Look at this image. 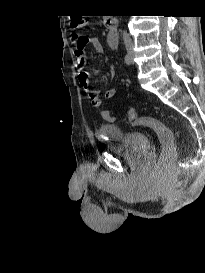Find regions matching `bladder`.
Masks as SVG:
<instances>
[{
    "instance_id": "bladder-1",
    "label": "bladder",
    "mask_w": 205,
    "mask_h": 273,
    "mask_svg": "<svg viewBox=\"0 0 205 273\" xmlns=\"http://www.w3.org/2000/svg\"><path fill=\"white\" fill-rule=\"evenodd\" d=\"M98 133L111 152L131 161L144 158L150 148L148 135L141 131L124 132L117 125L103 124L99 127Z\"/></svg>"
}]
</instances>
